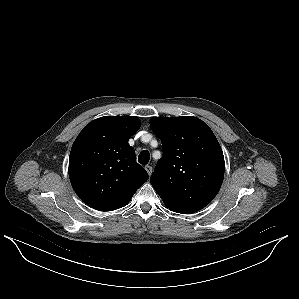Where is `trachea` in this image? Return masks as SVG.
I'll list each match as a JSON object with an SVG mask.
<instances>
[{
    "mask_svg": "<svg viewBox=\"0 0 299 299\" xmlns=\"http://www.w3.org/2000/svg\"><path fill=\"white\" fill-rule=\"evenodd\" d=\"M150 154L148 151H142L138 156V162L142 165H146L149 162Z\"/></svg>",
    "mask_w": 299,
    "mask_h": 299,
    "instance_id": "3493384b",
    "label": "trachea"
}]
</instances>
